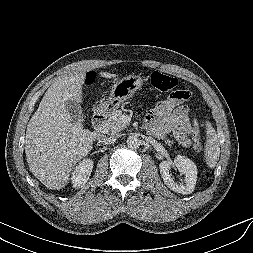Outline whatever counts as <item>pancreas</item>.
Returning <instances> with one entry per match:
<instances>
[{
  "instance_id": "1",
  "label": "pancreas",
  "mask_w": 253,
  "mask_h": 253,
  "mask_svg": "<svg viewBox=\"0 0 253 253\" xmlns=\"http://www.w3.org/2000/svg\"><path fill=\"white\" fill-rule=\"evenodd\" d=\"M124 114L121 110H114L109 118L105 121L103 132L107 134H118L121 130L126 128V123L123 121ZM166 143L170 146L173 142L169 139Z\"/></svg>"
}]
</instances>
